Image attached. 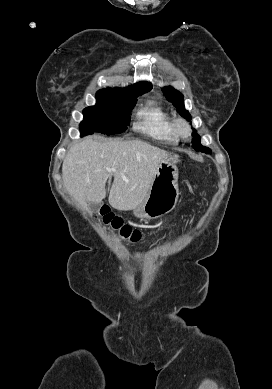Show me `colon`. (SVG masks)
<instances>
[{
    "label": "colon",
    "instance_id": "1",
    "mask_svg": "<svg viewBox=\"0 0 272 389\" xmlns=\"http://www.w3.org/2000/svg\"><path fill=\"white\" fill-rule=\"evenodd\" d=\"M103 224L117 234L120 240L136 243L142 239V232L123 223L122 219L109 212L108 209L100 211Z\"/></svg>",
    "mask_w": 272,
    "mask_h": 389
}]
</instances>
